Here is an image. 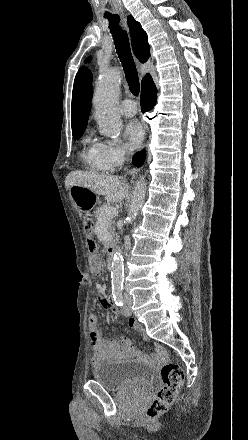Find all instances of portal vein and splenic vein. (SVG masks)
Masks as SVG:
<instances>
[{
	"label": "portal vein and splenic vein",
	"instance_id": "1",
	"mask_svg": "<svg viewBox=\"0 0 248 440\" xmlns=\"http://www.w3.org/2000/svg\"><path fill=\"white\" fill-rule=\"evenodd\" d=\"M118 214V210L115 207H108L101 212V219L113 218Z\"/></svg>",
	"mask_w": 248,
	"mask_h": 440
}]
</instances>
